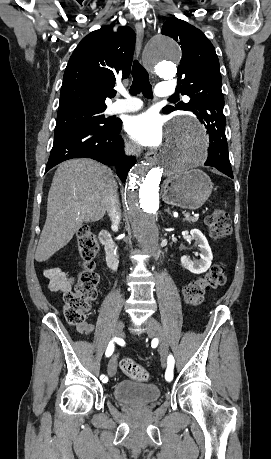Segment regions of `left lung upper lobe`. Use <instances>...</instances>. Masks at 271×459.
Instances as JSON below:
<instances>
[{
  "label": "left lung upper lobe",
  "mask_w": 271,
  "mask_h": 459,
  "mask_svg": "<svg viewBox=\"0 0 271 459\" xmlns=\"http://www.w3.org/2000/svg\"><path fill=\"white\" fill-rule=\"evenodd\" d=\"M161 33L181 45L182 59L176 90L191 98L188 103L165 107L163 113L180 109L192 111L199 120L225 118L219 60L212 43L201 30L176 17L163 24Z\"/></svg>",
  "instance_id": "1"
}]
</instances>
